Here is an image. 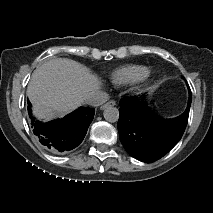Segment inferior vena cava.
I'll list each match as a JSON object with an SVG mask.
<instances>
[{"mask_svg": "<svg viewBox=\"0 0 213 213\" xmlns=\"http://www.w3.org/2000/svg\"><path fill=\"white\" fill-rule=\"evenodd\" d=\"M108 99L109 95L106 92L97 90L85 99V103L97 107L104 104Z\"/></svg>", "mask_w": 213, "mask_h": 213, "instance_id": "602c4592", "label": "inferior vena cava"}]
</instances>
